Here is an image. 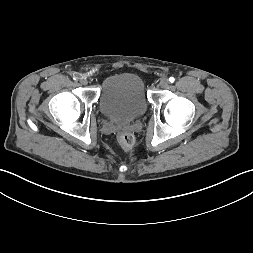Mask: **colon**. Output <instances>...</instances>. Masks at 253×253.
Returning <instances> with one entry per match:
<instances>
[{"instance_id": "1", "label": "colon", "mask_w": 253, "mask_h": 253, "mask_svg": "<svg viewBox=\"0 0 253 253\" xmlns=\"http://www.w3.org/2000/svg\"><path fill=\"white\" fill-rule=\"evenodd\" d=\"M118 141L121 144V146L125 149H130L135 144V138L129 132H120L118 134Z\"/></svg>"}]
</instances>
